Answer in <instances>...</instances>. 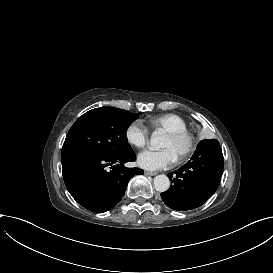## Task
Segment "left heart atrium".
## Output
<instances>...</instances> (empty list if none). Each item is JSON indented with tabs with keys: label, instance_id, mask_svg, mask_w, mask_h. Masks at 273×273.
I'll return each mask as SVG.
<instances>
[{
	"label": "left heart atrium",
	"instance_id": "obj_1",
	"mask_svg": "<svg viewBox=\"0 0 273 273\" xmlns=\"http://www.w3.org/2000/svg\"><path fill=\"white\" fill-rule=\"evenodd\" d=\"M176 159L169 148L145 149L139 153L137 163L143 169L158 170L170 166Z\"/></svg>",
	"mask_w": 273,
	"mask_h": 273
}]
</instances>
